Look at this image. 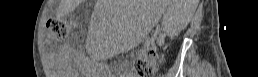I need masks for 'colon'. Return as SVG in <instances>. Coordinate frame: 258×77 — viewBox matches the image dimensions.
<instances>
[{"label":"colon","instance_id":"colon-1","mask_svg":"<svg viewBox=\"0 0 258 77\" xmlns=\"http://www.w3.org/2000/svg\"><path fill=\"white\" fill-rule=\"evenodd\" d=\"M70 24L63 23L60 20H52L48 22V28L51 37L54 40H62L68 33ZM136 72L140 77H152L156 68V52L153 49H146L136 57L134 63Z\"/></svg>","mask_w":258,"mask_h":77}]
</instances>
